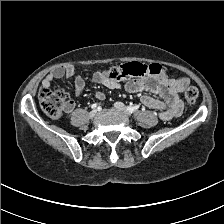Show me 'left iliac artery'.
I'll list each match as a JSON object with an SVG mask.
<instances>
[{"label": "left iliac artery", "instance_id": "44dca946", "mask_svg": "<svg viewBox=\"0 0 224 224\" xmlns=\"http://www.w3.org/2000/svg\"><path fill=\"white\" fill-rule=\"evenodd\" d=\"M138 108H139L138 105H135V106H128V107H127V110L129 111V113H133V112H135Z\"/></svg>", "mask_w": 224, "mask_h": 224}]
</instances>
